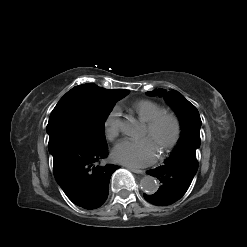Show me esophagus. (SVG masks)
<instances>
[{
  "label": "esophagus",
  "mask_w": 247,
  "mask_h": 247,
  "mask_svg": "<svg viewBox=\"0 0 247 247\" xmlns=\"http://www.w3.org/2000/svg\"><path fill=\"white\" fill-rule=\"evenodd\" d=\"M128 169L134 173H137V174H143L144 173V171L140 170V169L130 168V167Z\"/></svg>",
  "instance_id": "1"
}]
</instances>
